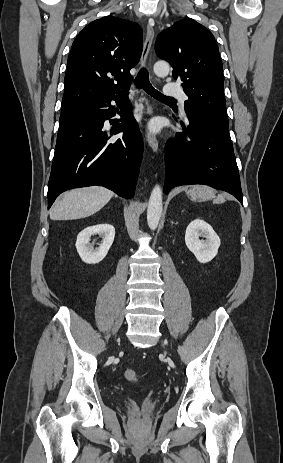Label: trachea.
<instances>
[{
  "mask_svg": "<svg viewBox=\"0 0 283 463\" xmlns=\"http://www.w3.org/2000/svg\"><path fill=\"white\" fill-rule=\"evenodd\" d=\"M135 86L139 89L143 88L146 93L163 101H175L174 98L164 96L158 90H156L149 81V75L145 68L139 71L138 76L135 79Z\"/></svg>",
  "mask_w": 283,
  "mask_h": 463,
  "instance_id": "1",
  "label": "trachea"
}]
</instances>
